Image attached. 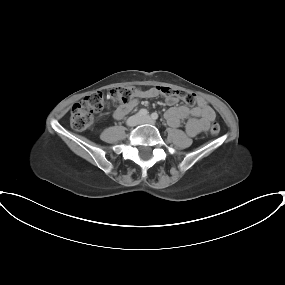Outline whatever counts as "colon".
<instances>
[{"instance_id": "obj_1", "label": "colon", "mask_w": 285, "mask_h": 285, "mask_svg": "<svg viewBox=\"0 0 285 285\" xmlns=\"http://www.w3.org/2000/svg\"><path fill=\"white\" fill-rule=\"evenodd\" d=\"M157 90L166 96H176L187 105L195 106L198 104L197 96L189 91L159 86ZM134 88L121 86L112 88L107 92L96 91L81 99L73 105L70 112V124L77 132L88 130L94 121L96 114L101 113L108 105H121L128 103L134 96ZM221 128L217 122H213L210 132L213 135L219 134Z\"/></svg>"}]
</instances>
